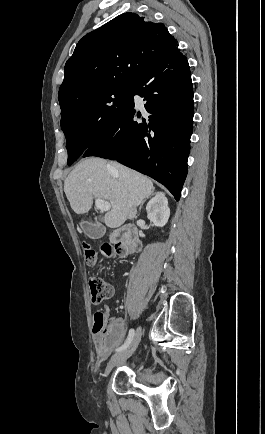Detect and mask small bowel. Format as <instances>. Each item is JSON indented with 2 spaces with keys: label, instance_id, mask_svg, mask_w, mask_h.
I'll list each match as a JSON object with an SVG mask.
<instances>
[{
  "label": "small bowel",
  "instance_id": "obj_1",
  "mask_svg": "<svg viewBox=\"0 0 265 434\" xmlns=\"http://www.w3.org/2000/svg\"><path fill=\"white\" fill-rule=\"evenodd\" d=\"M104 314H109L108 308L104 310ZM125 334V320L120 317L110 318L104 332L94 338L96 355L104 359L109 353H113V350L122 343Z\"/></svg>",
  "mask_w": 265,
  "mask_h": 434
}]
</instances>
